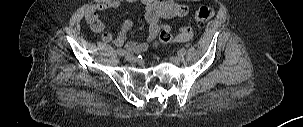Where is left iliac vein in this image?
<instances>
[{"mask_svg":"<svg viewBox=\"0 0 303 127\" xmlns=\"http://www.w3.org/2000/svg\"><path fill=\"white\" fill-rule=\"evenodd\" d=\"M174 60H175V62H182V61H184V57L182 56V55H178V56H176L175 58H174Z\"/></svg>","mask_w":303,"mask_h":127,"instance_id":"4c4485c4","label":"left iliac vein"}]
</instances>
